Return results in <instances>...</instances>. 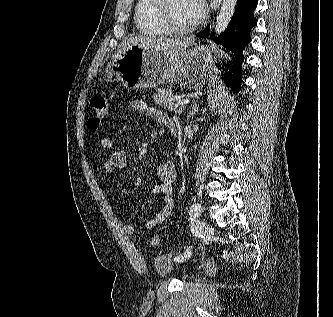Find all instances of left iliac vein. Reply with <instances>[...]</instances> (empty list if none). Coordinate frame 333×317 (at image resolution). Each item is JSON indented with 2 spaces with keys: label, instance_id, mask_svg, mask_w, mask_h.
Returning <instances> with one entry per match:
<instances>
[{
  "label": "left iliac vein",
  "instance_id": "4c4485c4",
  "mask_svg": "<svg viewBox=\"0 0 333 317\" xmlns=\"http://www.w3.org/2000/svg\"><path fill=\"white\" fill-rule=\"evenodd\" d=\"M197 229H198V232L201 234V235H207L210 233V226L209 224L203 220V219H198L197 221Z\"/></svg>",
  "mask_w": 333,
  "mask_h": 317
}]
</instances>
